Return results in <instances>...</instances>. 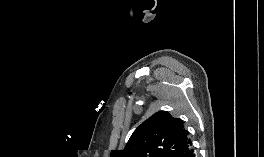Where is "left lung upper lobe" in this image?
Instances as JSON below:
<instances>
[{
    "mask_svg": "<svg viewBox=\"0 0 264 157\" xmlns=\"http://www.w3.org/2000/svg\"><path fill=\"white\" fill-rule=\"evenodd\" d=\"M192 141L183 121L159 111L139 125L123 150L110 157H189Z\"/></svg>",
    "mask_w": 264,
    "mask_h": 157,
    "instance_id": "5c2ea615",
    "label": "left lung upper lobe"
}]
</instances>
